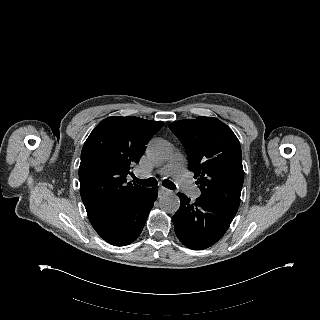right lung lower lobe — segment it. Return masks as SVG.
<instances>
[{
	"mask_svg": "<svg viewBox=\"0 0 320 320\" xmlns=\"http://www.w3.org/2000/svg\"><path fill=\"white\" fill-rule=\"evenodd\" d=\"M156 198L157 189L146 188L125 205L89 220L106 242L125 246L140 235Z\"/></svg>",
	"mask_w": 320,
	"mask_h": 320,
	"instance_id": "98d812e1",
	"label": "right lung lower lobe"
}]
</instances>
